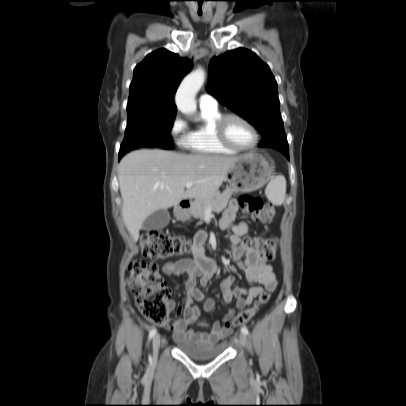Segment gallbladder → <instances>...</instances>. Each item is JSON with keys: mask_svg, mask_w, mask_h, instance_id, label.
<instances>
[{"mask_svg": "<svg viewBox=\"0 0 406 406\" xmlns=\"http://www.w3.org/2000/svg\"><path fill=\"white\" fill-rule=\"evenodd\" d=\"M170 221V214L166 209L155 211L143 222V230H158L166 227Z\"/></svg>", "mask_w": 406, "mask_h": 406, "instance_id": "bac80fb5", "label": "gallbladder"}]
</instances>
